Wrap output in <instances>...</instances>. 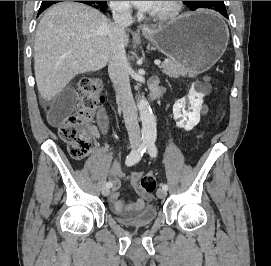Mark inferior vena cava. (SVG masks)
<instances>
[{
	"instance_id": "inferior-vena-cava-1",
	"label": "inferior vena cava",
	"mask_w": 271,
	"mask_h": 266,
	"mask_svg": "<svg viewBox=\"0 0 271 266\" xmlns=\"http://www.w3.org/2000/svg\"><path fill=\"white\" fill-rule=\"evenodd\" d=\"M111 10L114 22L110 24L108 32L110 47L108 72L117 92L129 140L139 142L141 138L137 108L129 84L124 49L125 29L133 23L131 8L128 3L121 2L113 4Z\"/></svg>"
}]
</instances>
